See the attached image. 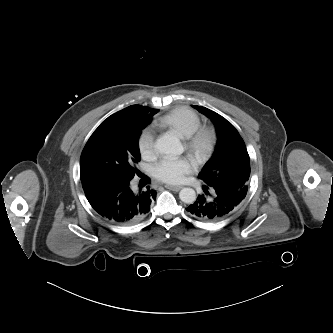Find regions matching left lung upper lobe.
<instances>
[{"label": "left lung upper lobe", "mask_w": 333, "mask_h": 333, "mask_svg": "<svg viewBox=\"0 0 333 333\" xmlns=\"http://www.w3.org/2000/svg\"><path fill=\"white\" fill-rule=\"evenodd\" d=\"M193 107L211 119L218 137L214 153L198 177L209 186L223 184L241 191L245 198L250 176V159L243 139L235 127L216 112L202 106Z\"/></svg>", "instance_id": "obj_1"}]
</instances>
